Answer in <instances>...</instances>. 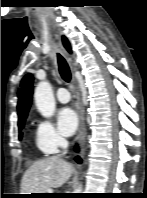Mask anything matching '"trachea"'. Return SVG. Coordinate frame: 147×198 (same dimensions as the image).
Listing matches in <instances>:
<instances>
[{
  "mask_svg": "<svg viewBox=\"0 0 147 198\" xmlns=\"http://www.w3.org/2000/svg\"><path fill=\"white\" fill-rule=\"evenodd\" d=\"M57 59H58L59 73L62 79L66 82H70L71 72L68 63L60 54H57Z\"/></svg>",
  "mask_w": 147,
  "mask_h": 198,
  "instance_id": "obj_1",
  "label": "trachea"
}]
</instances>
